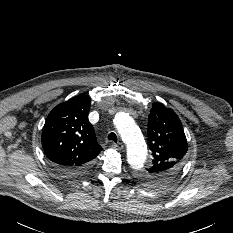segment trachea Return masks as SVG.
<instances>
[{
  "mask_svg": "<svg viewBox=\"0 0 233 233\" xmlns=\"http://www.w3.org/2000/svg\"><path fill=\"white\" fill-rule=\"evenodd\" d=\"M108 139L114 141L115 143L117 142V136L113 132L109 134Z\"/></svg>",
  "mask_w": 233,
  "mask_h": 233,
  "instance_id": "trachea-1",
  "label": "trachea"
}]
</instances>
